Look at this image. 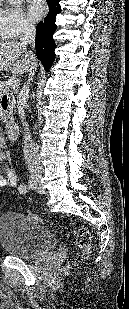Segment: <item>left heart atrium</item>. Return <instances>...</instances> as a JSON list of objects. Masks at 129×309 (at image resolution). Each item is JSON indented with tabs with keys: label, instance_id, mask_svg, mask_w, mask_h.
I'll return each instance as SVG.
<instances>
[{
	"label": "left heart atrium",
	"instance_id": "39dd6f15",
	"mask_svg": "<svg viewBox=\"0 0 129 309\" xmlns=\"http://www.w3.org/2000/svg\"><path fill=\"white\" fill-rule=\"evenodd\" d=\"M46 13V5L43 0H30L28 14L32 20H39Z\"/></svg>",
	"mask_w": 129,
	"mask_h": 309
}]
</instances>
